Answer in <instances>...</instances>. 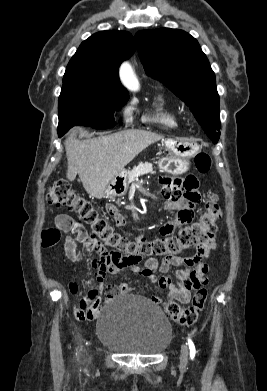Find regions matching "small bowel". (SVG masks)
Returning a JSON list of instances; mask_svg holds the SVG:
<instances>
[{
  "instance_id": "small-bowel-1",
  "label": "small bowel",
  "mask_w": 267,
  "mask_h": 391,
  "mask_svg": "<svg viewBox=\"0 0 267 391\" xmlns=\"http://www.w3.org/2000/svg\"><path fill=\"white\" fill-rule=\"evenodd\" d=\"M161 184L163 185V194L169 200L166 208L175 211V218L164 223L160 228V233L162 236H170L178 226L188 225L194 221L196 206L200 203L201 196L198 191V181L193 176L179 179L167 175L161 180ZM106 212L113 218L117 226L124 225L125 219L114 204H107ZM55 224L59 230L70 234L64 243L67 257L71 260H78L80 258L78 244L88 246L89 239V234L83 224L67 214L58 215ZM216 247V241L214 237H211L197 248V252L194 255L182 258H166L160 264L152 261L144 266L138 264L128 265L124 262L123 257L115 252L106 255L97 254L90 261L91 275L86 281L89 291L81 300L79 307L75 308L74 314L78 320H91L101 308L103 294L107 300H110L118 294L131 293L132 288L126 283L103 288V279L107 274L115 275L126 268L157 281L162 289L168 291L167 299H175L179 302L187 303L190 300L191 292L208 282L209 266L206 259ZM180 266L186 268L177 269L174 273V278L167 276L156 278L154 275L157 269L162 273H166L172 267ZM70 289L72 293H75L77 285L71 283ZM151 301L158 304L163 302V299L158 296H152Z\"/></svg>"
}]
</instances>
